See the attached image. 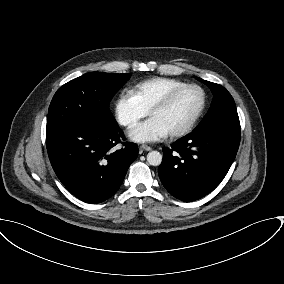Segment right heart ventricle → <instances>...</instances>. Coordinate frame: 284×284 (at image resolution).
I'll return each mask as SVG.
<instances>
[{
	"instance_id": "e07e8e85",
	"label": "right heart ventricle",
	"mask_w": 284,
	"mask_h": 284,
	"mask_svg": "<svg viewBox=\"0 0 284 284\" xmlns=\"http://www.w3.org/2000/svg\"><path fill=\"white\" fill-rule=\"evenodd\" d=\"M186 83L176 78L153 77L138 83L132 93L148 111L172 90Z\"/></svg>"
}]
</instances>
